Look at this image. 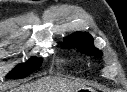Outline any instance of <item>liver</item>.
<instances>
[{"mask_svg":"<svg viewBox=\"0 0 127 92\" xmlns=\"http://www.w3.org/2000/svg\"><path fill=\"white\" fill-rule=\"evenodd\" d=\"M83 85L75 80L46 77L35 83L21 86L14 92H77Z\"/></svg>","mask_w":127,"mask_h":92,"instance_id":"6515ba94","label":"liver"}]
</instances>
